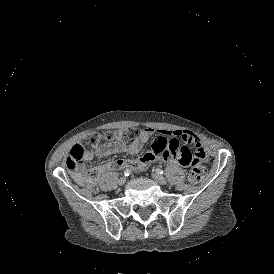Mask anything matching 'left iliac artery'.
<instances>
[{
    "label": "left iliac artery",
    "instance_id": "1",
    "mask_svg": "<svg viewBox=\"0 0 274 274\" xmlns=\"http://www.w3.org/2000/svg\"><path fill=\"white\" fill-rule=\"evenodd\" d=\"M155 171H156L157 174H163V170L160 169V168H157Z\"/></svg>",
    "mask_w": 274,
    "mask_h": 274
}]
</instances>
